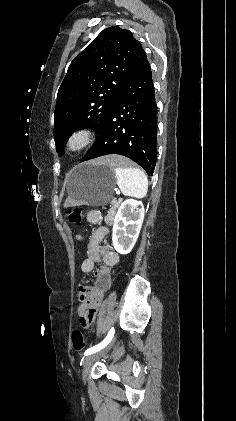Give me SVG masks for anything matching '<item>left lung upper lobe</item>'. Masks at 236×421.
Instances as JSON below:
<instances>
[{
    "label": "left lung upper lobe",
    "instance_id": "1",
    "mask_svg": "<svg viewBox=\"0 0 236 421\" xmlns=\"http://www.w3.org/2000/svg\"><path fill=\"white\" fill-rule=\"evenodd\" d=\"M141 48L118 26L103 30L70 64L58 90L54 140L61 153L71 134L84 127L100 130L115 104Z\"/></svg>",
    "mask_w": 236,
    "mask_h": 421
}]
</instances>
